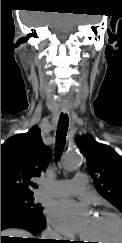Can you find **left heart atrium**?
<instances>
[{"instance_id": "obj_1", "label": "left heart atrium", "mask_w": 122, "mask_h": 243, "mask_svg": "<svg viewBox=\"0 0 122 243\" xmlns=\"http://www.w3.org/2000/svg\"><path fill=\"white\" fill-rule=\"evenodd\" d=\"M47 215L54 227L66 235H83L91 219L87 206L72 199H59L50 204Z\"/></svg>"}]
</instances>
